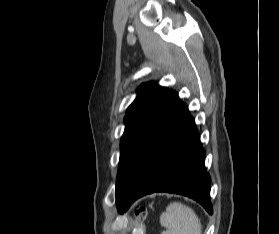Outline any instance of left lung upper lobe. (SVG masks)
<instances>
[{
	"instance_id": "5c2ea615",
	"label": "left lung upper lobe",
	"mask_w": 279,
	"mask_h": 234,
	"mask_svg": "<svg viewBox=\"0 0 279 234\" xmlns=\"http://www.w3.org/2000/svg\"><path fill=\"white\" fill-rule=\"evenodd\" d=\"M168 89L155 82L144 83L138 88V95L129 106L124 118L125 131L121 138V153L116 181V204L123 213L121 192L133 164L140 143L157 113Z\"/></svg>"
}]
</instances>
